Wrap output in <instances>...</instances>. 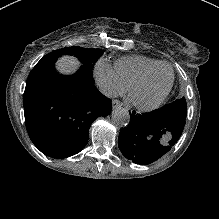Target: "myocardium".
<instances>
[{"instance_id":"f54148a6","label":"myocardium","mask_w":219,"mask_h":219,"mask_svg":"<svg viewBox=\"0 0 219 219\" xmlns=\"http://www.w3.org/2000/svg\"><path fill=\"white\" fill-rule=\"evenodd\" d=\"M161 66H167L171 71V81H170V84H169L168 88L166 89V91L156 101L151 102V103H140V102L135 101L132 97V93H133L134 88L138 84H140L144 79H146L148 76H150L152 73H154ZM174 81H175V73H174L172 67L169 64L159 62L155 66H152V67L146 69L144 72H142L140 75H138L130 83V85L128 87V92H127L128 101L132 106H134L138 110L147 111V110L154 109V108L160 106L167 99V97H168V95L173 87Z\"/></svg>"}]
</instances>
